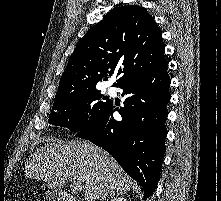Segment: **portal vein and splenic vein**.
I'll use <instances>...</instances> for the list:
<instances>
[{
    "instance_id": "obj_1",
    "label": "portal vein and splenic vein",
    "mask_w": 221,
    "mask_h": 201,
    "mask_svg": "<svg viewBox=\"0 0 221 201\" xmlns=\"http://www.w3.org/2000/svg\"><path fill=\"white\" fill-rule=\"evenodd\" d=\"M71 187L73 188V190L75 191H81L83 190V184L81 183V181L79 180H71Z\"/></svg>"
}]
</instances>
